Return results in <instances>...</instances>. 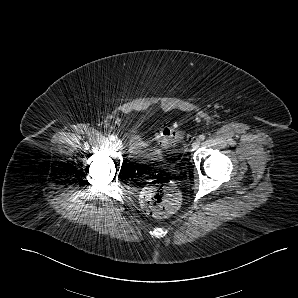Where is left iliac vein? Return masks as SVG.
<instances>
[{
	"label": "left iliac vein",
	"mask_w": 298,
	"mask_h": 298,
	"mask_svg": "<svg viewBox=\"0 0 298 298\" xmlns=\"http://www.w3.org/2000/svg\"><path fill=\"white\" fill-rule=\"evenodd\" d=\"M199 146H200V140H199V139L195 140V141L192 143V148H193V150H196L197 148H199Z\"/></svg>",
	"instance_id": "1"
}]
</instances>
